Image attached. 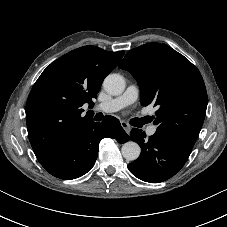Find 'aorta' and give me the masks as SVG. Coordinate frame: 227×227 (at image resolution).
Instances as JSON below:
<instances>
[{"instance_id": "obj_1", "label": "aorta", "mask_w": 227, "mask_h": 227, "mask_svg": "<svg viewBox=\"0 0 227 227\" xmlns=\"http://www.w3.org/2000/svg\"><path fill=\"white\" fill-rule=\"evenodd\" d=\"M103 86L107 93L119 95L125 90V80L120 74H109L105 78ZM121 152L126 160L134 161L140 156L141 148L137 143L128 141L123 144Z\"/></svg>"}]
</instances>
